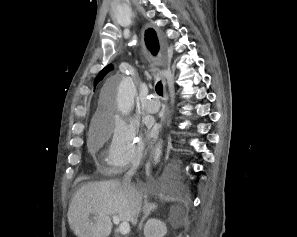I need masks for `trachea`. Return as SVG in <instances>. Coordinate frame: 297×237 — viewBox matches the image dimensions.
<instances>
[{"mask_svg":"<svg viewBox=\"0 0 297 237\" xmlns=\"http://www.w3.org/2000/svg\"><path fill=\"white\" fill-rule=\"evenodd\" d=\"M155 90H156V92H157L158 95H160V96L163 95V85H162L161 81H159L156 84Z\"/></svg>","mask_w":297,"mask_h":237,"instance_id":"1","label":"trachea"}]
</instances>
